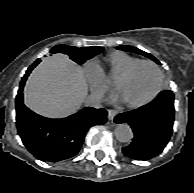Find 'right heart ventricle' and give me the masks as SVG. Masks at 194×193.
I'll return each instance as SVG.
<instances>
[{
  "label": "right heart ventricle",
  "mask_w": 194,
  "mask_h": 193,
  "mask_svg": "<svg viewBox=\"0 0 194 193\" xmlns=\"http://www.w3.org/2000/svg\"><path fill=\"white\" fill-rule=\"evenodd\" d=\"M142 59L129 55L122 51H116L111 53L107 58L106 62L108 65L107 70L97 65L100 69L103 77L108 83L114 84L115 81L132 65L141 61Z\"/></svg>",
  "instance_id": "right-heart-ventricle-1"
}]
</instances>
